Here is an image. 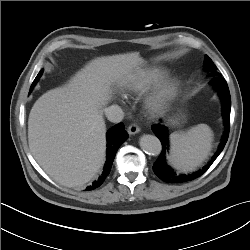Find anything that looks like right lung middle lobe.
Segmentation results:
<instances>
[{"instance_id": "right-lung-middle-lobe-1", "label": "right lung middle lobe", "mask_w": 250, "mask_h": 250, "mask_svg": "<svg viewBox=\"0 0 250 250\" xmlns=\"http://www.w3.org/2000/svg\"><path fill=\"white\" fill-rule=\"evenodd\" d=\"M42 73H43V69L39 72V74H38L37 77L35 78L34 82L32 83L31 88H30L31 90L33 89V87H34L35 84L37 83V81H38L39 77L42 75Z\"/></svg>"}]
</instances>
